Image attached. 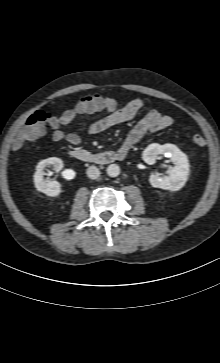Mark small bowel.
I'll list each match as a JSON object with an SVG mask.
<instances>
[{"instance_id": "1", "label": "small bowel", "mask_w": 220, "mask_h": 363, "mask_svg": "<svg viewBox=\"0 0 220 363\" xmlns=\"http://www.w3.org/2000/svg\"><path fill=\"white\" fill-rule=\"evenodd\" d=\"M144 108V102L133 98L124 102L100 95L87 96L80 100L73 109L64 111L60 116L54 117L49 125L53 129L55 141H66L73 146L81 145V138L75 133H66L64 127L76 120L80 115H93L104 111L102 118L88 124L87 130L91 134H99L110 128L128 122L136 117ZM174 120L171 116L163 114L156 109H150L137 122L130 131L123 144V148H132L146 133L155 132L172 126Z\"/></svg>"}]
</instances>
